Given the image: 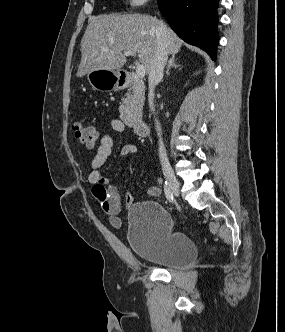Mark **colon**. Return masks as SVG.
<instances>
[{
	"label": "colon",
	"instance_id": "colon-1",
	"mask_svg": "<svg viewBox=\"0 0 285 332\" xmlns=\"http://www.w3.org/2000/svg\"><path fill=\"white\" fill-rule=\"evenodd\" d=\"M73 132L79 142L88 148L94 147L99 138L97 129L94 126L83 122L74 123Z\"/></svg>",
	"mask_w": 285,
	"mask_h": 332
}]
</instances>
